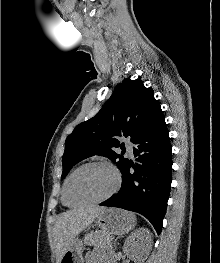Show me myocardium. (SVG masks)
Listing matches in <instances>:
<instances>
[{"mask_svg": "<svg viewBox=\"0 0 220 263\" xmlns=\"http://www.w3.org/2000/svg\"><path fill=\"white\" fill-rule=\"evenodd\" d=\"M96 165L105 166L113 172L114 177H115V183H114L113 188L106 195H104L98 199H94V200H90V201H86V202H82V203L70 202L69 197H68V190H69V185H70L72 178L75 176V174H77L82 169L90 167V166H96ZM121 181H122V179H121V175H120L119 171L111 163H109L107 161H102V160L87 162L85 164H82L78 168H76L66 179L65 184H64V191H63L64 202L67 206H70V207H82V206L102 203V202L108 200L109 198H111L119 190V188L121 186Z\"/></svg>", "mask_w": 220, "mask_h": 263, "instance_id": "f54148a6", "label": "myocardium"}]
</instances>
